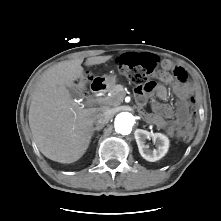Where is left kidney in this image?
I'll return each instance as SVG.
<instances>
[{
	"instance_id": "left-kidney-1",
	"label": "left kidney",
	"mask_w": 221,
	"mask_h": 221,
	"mask_svg": "<svg viewBox=\"0 0 221 221\" xmlns=\"http://www.w3.org/2000/svg\"><path fill=\"white\" fill-rule=\"evenodd\" d=\"M150 138H152L156 143V149L150 150L145 144L146 139ZM135 139L141 156L149 162H155L161 159L163 156H165L169 148L168 137L161 133H152L146 130L138 129L135 132Z\"/></svg>"
}]
</instances>
